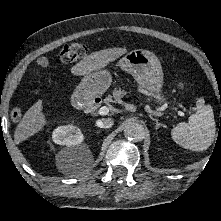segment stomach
<instances>
[{
    "label": "stomach",
    "mask_w": 221,
    "mask_h": 221,
    "mask_svg": "<svg viewBox=\"0 0 221 221\" xmlns=\"http://www.w3.org/2000/svg\"><path fill=\"white\" fill-rule=\"evenodd\" d=\"M118 66L131 74L138 85L149 95H153L156 101L165 103L162 94L163 72L158 57L148 50L136 49L129 51L118 62ZM112 82L111 74L103 69H97L86 74L76 87L73 96L88 102L98 95L106 92Z\"/></svg>",
    "instance_id": "1"
}]
</instances>
